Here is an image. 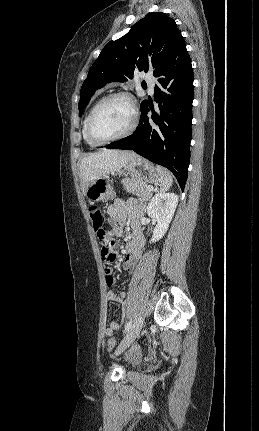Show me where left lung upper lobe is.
Masks as SVG:
<instances>
[{
  "mask_svg": "<svg viewBox=\"0 0 259 431\" xmlns=\"http://www.w3.org/2000/svg\"><path fill=\"white\" fill-rule=\"evenodd\" d=\"M182 39L173 19L165 13L153 12L139 20L126 35L107 43L81 87L80 116L95 91L107 83L132 79L135 70H152L155 75Z\"/></svg>",
  "mask_w": 259,
  "mask_h": 431,
  "instance_id": "obj_1",
  "label": "left lung upper lobe"
}]
</instances>
